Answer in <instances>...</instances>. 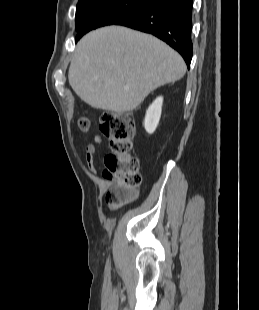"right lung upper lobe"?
I'll use <instances>...</instances> for the list:
<instances>
[{
  "label": "right lung upper lobe",
  "instance_id": "obj_1",
  "mask_svg": "<svg viewBox=\"0 0 259 310\" xmlns=\"http://www.w3.org/2000/svg\"><path fill=\"white\" fill-rule=\"evenodd\" d=\"M104 0H78L77 8H85Z\"/></svg>",
  "mask_w": 259,
  "mask_h": 310
}]
</instances>
